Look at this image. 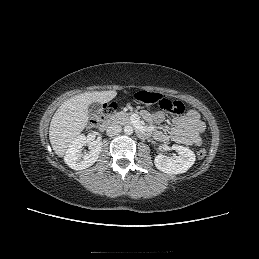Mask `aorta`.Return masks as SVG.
<instances>
[{
    "mask_svg": "<svg viewBox=\"0 0 259 259\" xmlns=\"http://www.w3.org/2000/svg\"><path fill=\"white\" fill-rule=\"evenodd\" d=\"M124 133H125L126 135H131V134H133V128H132V126H129V125L125 126V127H124Z\"/></svg>",
    "mask_w": 259,
    "mask_h": 259,
    "instance_id": "762f6f07",
    "label": "aorta"
}]
</instances>
